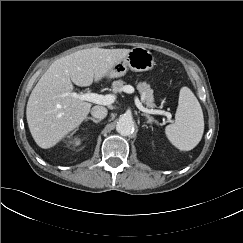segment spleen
I'll return each mask as SVG.
<instances>
[{
	"mask_svg": "<svg viewBox=\"0 0 243 243\" xmlns=\"http://www.w3.org/2000/svg\"><path fill=\"white\" fill-rule=\"evenodd\" d=\"M203 132L204 118L200 103L188 87H182L175 120L166 126L165 134L176 148L189 151L201 141Z\"/></svg>",
	"mask_w": 243,
	"mask_h": 243,
	"instance_id": "spleen-1",
	"label": "spleen"
}]
</instances>
